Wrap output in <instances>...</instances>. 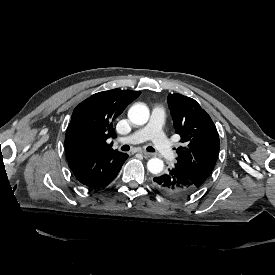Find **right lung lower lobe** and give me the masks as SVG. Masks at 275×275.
I'll return each instance as SVG.
<instances>
[{"instance_id": "obj_1", "label": "right lung lower lobe", "mask_w": 275, "mask_h": 275, "mask_svg": "<svg viewBox=\"0 0 275 275\" xmlns=\"http://www.w3.org/2000/svg\"><path fill=\"white\" fill-rule=\"evenodd\" d=\"M128 155L117 150L67 158L76 179L87 187L100 188L110 184Z\"/></svg>"}]
</instances>
